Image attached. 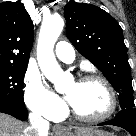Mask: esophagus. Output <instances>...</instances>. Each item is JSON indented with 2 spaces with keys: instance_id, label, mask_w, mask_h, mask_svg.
Segmentation results:
<instances>
[{
  "instance_id": "34e87169",
  "label": "esophagus",
  "mask_w": 136,
  "mask_h": 136,
  "mask_svg": "<svg viewBox=\"0 0 136 136\" xmlns=\"http://www.w3.org/2000/svg\"><path fill=\"white\" fill-rule=\"evenodd\" d=\"M53 131H54L55 133H63V132H65L66 130H65V128H64L63 126H61V125H54Z\"/></svg>"
}]
</instances>
